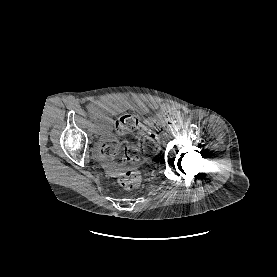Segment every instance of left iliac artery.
Here are the masks:
<instances>
[{
  "instance_id": "left-iliac-artery-1",
  "label": "left iliac artery",
  "mask_w": 277,
  "mask_h": 277,
  "mask_svg": "<svg viewBox=\"0 0 277 277\" xmlns=\"http://www.w3.org/2000/svg\"><path fill=\"white\" fill-rule=\"evenodd\" d=\"M180 128H181V124H180V123L174 125V129H175L176 131H179Z\"/></svg>"
}]
</instances>
